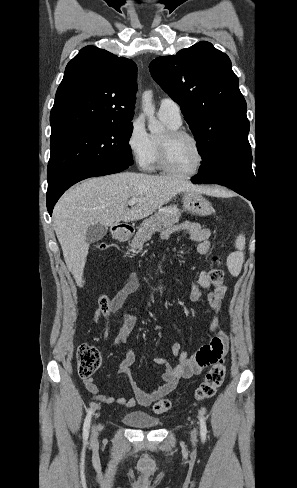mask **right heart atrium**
Here are the masks:
<instances>
[{
	"label": "right heart atrium",
	"instance_id": "obj_1",
	"mask_svg": "<svg viewBox=\"0 0 297 488\" xmlns=\"http://www.w3.org/2000/svg\"><path fill=\"white\" fill-rule=\"evenodd\" d=\"M126 145L136 163L141 167L146 166L152 152V139L141 117H136L131 121L126 136Z\"/></svg>",
	"mask_w": 297,
	"mask_h": 488
}]
</instances>
